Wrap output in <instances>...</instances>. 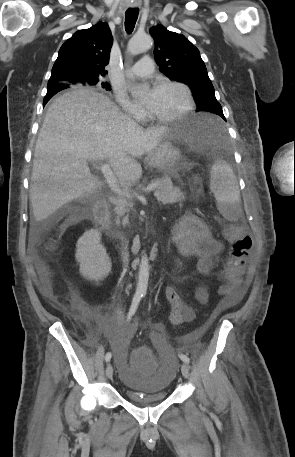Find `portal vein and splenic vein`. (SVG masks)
<instances>
[{"mask_svg":"<svg viewBox=\"0 0 295 457\" xmlns=\"http://www.w3.org/2000/svg\"><path fill=\"white\" fill-rule=\"evenodd\" d=\"M101 171L107 181V183L109 184V186L111 187V189L118 195L120 196H124L125 193L119 188V186L117 185L116 183V177L110 167V165L105 162V163H102L101 164ZM157 184L156 183H152V184H149L147 187H146V191H153L155 188H156Z\"/></svg>","mask_w":295,"mask_h":457,"instance_id":"obj_1","label":"portal vein and splenic vein"}]
</instances>
